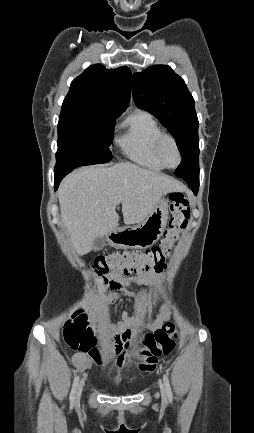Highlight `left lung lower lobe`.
I'll use <instances>...</instances> for the list:
<instances>
[{"instance_id":"0a47b994","label":"left lung lower lobe","mask_w":254,"mask_h":433,"mask_svg":"<svg viewBox=\"0 0 254 433\" xmlns=\"http://www.w3.org/2000/svg\"><path fill=\"white\" fill-rule=\"evenodd\" d=\"M189 187L192 189L195 195H197L198 188H199V180H193V179H184Z\"/></svg>"}]
</instances>
